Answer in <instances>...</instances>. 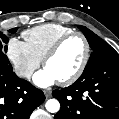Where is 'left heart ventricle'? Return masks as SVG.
<instances>
[{
	"label": "left heart ventricle",
	"mask_w": 119,
	"mask_h": 119,
	"mask_svg": "<svg viewBox=\"0 0 119 119\" xmlns=\"http://www.w3.org/2000/svg\"><path fill=\"white\" fill-rule=\"evenodd\" d=\"M85 53V45L81 38L74 37L67 41L58 54L49 60L46 68L62 80L73 74L81 64Z\"/></svg>",
	"instance_id": "obj_1"
}]
</instances>
